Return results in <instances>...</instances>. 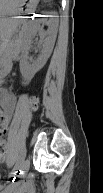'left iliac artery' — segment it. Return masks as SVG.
I'll return each mask as SVG.
<instances>
[{"mask_svg":"<svg viewBox=\"0 0 103 193\" xmlns=\"http://www.w3.org/2000/svg\"><path fill=\"white\" fill-rule=\"evenodd\" d=\"M25 157H26V148L23 147V149L21 150V153L19 155V158L16 162V165L14 166L13 171L11 173V178L13 177L12 182H14V179L16 178L17 173L20 171Z\"/></svg>","mask_w":103,"mask_h":193,"instance_id":"obj_1","label":"left iliac artery"}]
</instances>
